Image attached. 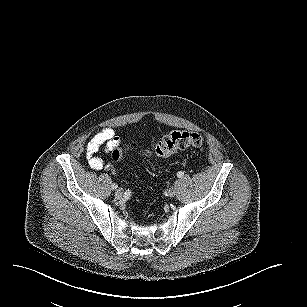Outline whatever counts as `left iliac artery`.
<instances>
[{
  "instance_id": "obj_1",
  "label": "left iliac artery",
  "mask_w": 307,
  "mask_h": 307,
  "mask_svg": "<svg viewBox=\"0 0 307 307\" xmlns=\"http://www.w3.org/2000/svg\"><path fill=\"white\" fill-rule=\"evenodd\" d=\"M177 176H178L179 178H182V177L184 176V173H183L182 171H179V172L177 173Z\"/></svg>"
}]
</instances>
